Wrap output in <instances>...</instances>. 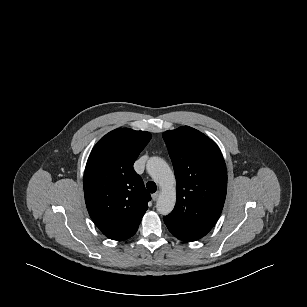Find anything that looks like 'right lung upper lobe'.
I'll return each mask as SVG.
<instances>
[{
  "mask_svg": "<svg viewBox=\"0 0 307 307\" xmlns=\"http://www.w3.org/2000/svg\"><path fill=\"white\" fill-rule=\"evenodd\" d=\"M152 135L115 129L94 146L84 172L85 202L95 225L112 240L133 236L151 199L133 164Z\"/></svg>",
  "mask_w": 307,
  "mask_h": 307,
  "instance_id": "right-lung-upper-lobe-1",
  "label": "right lung upper lobe"
}]
</instances>
